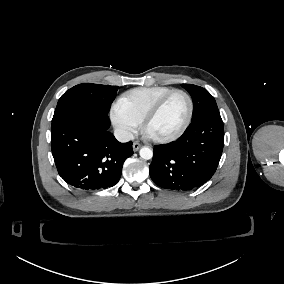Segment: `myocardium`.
<instances>
[{
    "instance_id": "myocardium-1",
    "label": "myocardium",
    "mask_w": 284,
    "mask_h": 284,
    "mask_svg": "<svg viewBox=\"0 0 284 284\" xmlns=\"http://www.w3.org/2000/svg\"><path fill=\"white\" fill-rule=\"evenodd\" d=\"M176 93H182L187 98L188 103H189V111H188V115H187L185 122L183 123L181 128L171 136L164 137V138H157V137L150 136L147 132V126L149 122L157 116V114L162 110V108L164 107L166 102L169 100V98L172 97ZM193 115H194V102L190 94L183 89H174L168 92L167 94H165L163 97H161L152 107L149 108L145 116L141 119L142 133L147 139L155 143L164 144V143L173 142L177 140L178 138H180L185 133V131L188 129L189 125L191 124Z\"/></svg>"
}]
</instances>
